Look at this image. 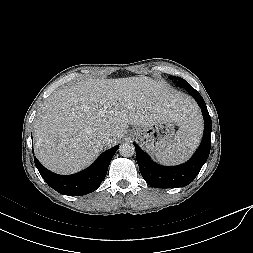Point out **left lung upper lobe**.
Masks as SVG:
<instances>
[{"instance_id":"obj_1","label":"left lung upper lobe","mask_w":253,"mask_h":253,"mask_svg":"<svg viewBox=\"0 0 253 253\" xmlns=\"http://www.w3.org/2000/svg\"><path fill=\"white\" fill-rule=\"evenodd\" d=\"M171 78H173V76H171ZM177 83L179 86L187 88L188 86H190L184 79L177 77Z\"/></svg>"}]
</instances>
